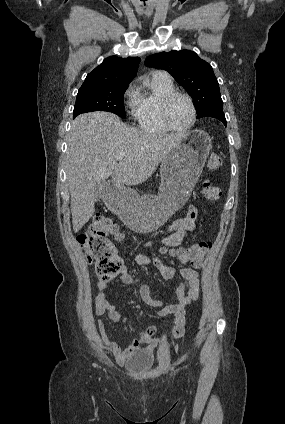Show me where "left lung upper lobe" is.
<instances>
[{"instance_id": "1", "label": "left lung upper lobe", "mask_w": 285, "mask_h": 424, "mask_svg": "<svg viewBox=\"0 0 285 424\" xmlns=\"http://www.w3.org/2000/svg\"><path fill=\"white\" fill-rule=\"evenodd\" d=\"M145 65L164 69L189 93L197 118L214 107H222L218 81L210 64L189 50L160 52L149 56Z\"/></svg>"}]
</instances>
